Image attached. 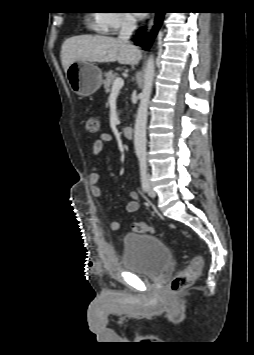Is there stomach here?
I'll return each mask as SVG.
<instances>
[{
	"instance_id": "stomach-1",
	"label": "stomach",
	"mask_w": 254,
	"mask_h": 355,
	"mask_svg": "<svg viewBox=\"0 0 254 355\" xmlns=\"http://www.w3.org/2000/svg\"><path fill=\"white\" fill-rule=\"evenodd\" d=\"M71 90L81 96L95 93L102 83V71L88 61H75L66 71Z\"/></svg>"
}]
</instances>
